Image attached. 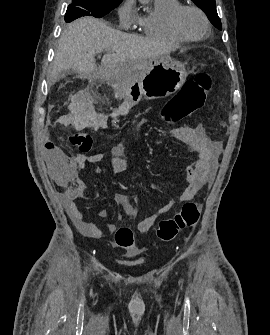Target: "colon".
<instances>
[{
	"label": "colon",
	"instance_id": "colon-1",
	"mask_svg": "<svg viewBox=\"0 0 270 335\" xmlns=\"http://www.w3.org/2000/svg\"><path fill=\"white\" fill-rule=\"evenodd\" d=\"M211 89V76L202 72L188 80L181 93L170 98L161 115L167 122L178 123L193 111L204 104L206 95ZM70 144L81 152L89 153L94 149V138L85 131H78L69 137ZM199 218V205L194 201L182 204L176 212L162 218L157 227L156 234L163 243L174 241L185 229L194 227ZM116 244L123 249L133 246V233L130 228H119L115 234Z\"/></svg>",
	"mask_w": 270,
	"mask_h": 335
}]
</instances>
